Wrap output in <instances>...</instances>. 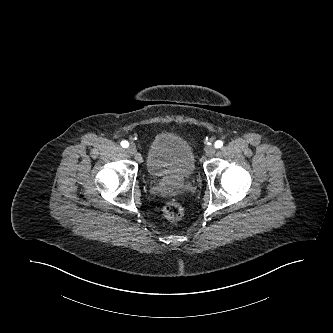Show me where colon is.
Returning <instances> with one entry per match:
<instances>
[{"label":"colon","instance_id":"obj_1","mask_svg":"<svg viewBox=\"0 0 333 333\" xmlns=\"http://www.w3.org/2000/svg\"><path fill=\"white\" fill-rule=\"evenodd\" d=\"M164 216L171 220L177 221L183 216V209L180 204L175 201H170L166 203L163 207Z\"/></svg>","mask_w":333,"mask_h":333}]
</instances>
